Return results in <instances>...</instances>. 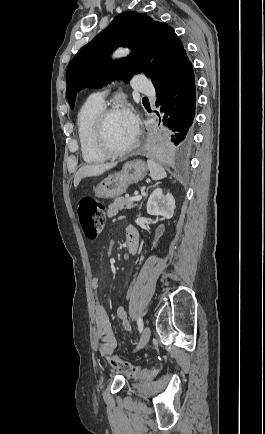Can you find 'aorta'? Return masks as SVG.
<instances>
[{"label": "aorta", "mask_w": 265, "mask_h": 434, "mask_svg": "<svg viewBox=\"0 0 265 434\" xmlns=\"http://www.w3.org/2000/svg\"><path fill=\"white\" fill-rule=\"evenodd\" d=\"M117 54H121V50H118ZM117 54H115V56H117Z\"/></svg>", "instance_id": "obj_1"}]
</instances>
